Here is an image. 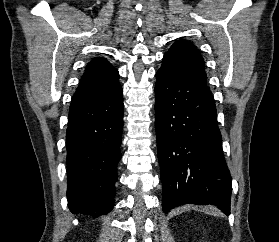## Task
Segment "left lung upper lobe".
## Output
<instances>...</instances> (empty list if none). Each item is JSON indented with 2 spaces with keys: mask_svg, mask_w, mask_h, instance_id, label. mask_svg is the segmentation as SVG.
<instances>
[{
  "mask_svg": "<svg viewBox=\"0 0 279 242\" xmlns=\"http://www.w3.org/2000/svg\"><path fill=\"white\" fill-rule=\"evenodd\" d=\"M166 54L173 55L206 79L203 58L194 44L185 40L176 41Z\"/></svg>",
  "mask_w": 279,
  "mask_h": 242,
  "instance_id": "obj_1",
  "label": "left lung upper lobe"
}]
</instances>
